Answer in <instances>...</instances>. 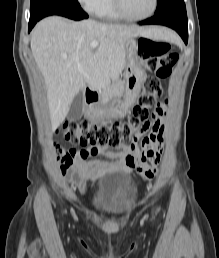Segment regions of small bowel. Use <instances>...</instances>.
Wrapping results in <instances>:
<instances>
[{
  "label": "small bowel",
  "instance_id": "1",
  "mask_svg": "<svg viewBox=\"0 0 219 258\" xmlns=\"http://www.w3.org/2000/svg\"><path fill=\"white\" fill-rule=\"evenodd\" d=\"M167 106L168 101H165L155 108L153 121L143 132L137 134L130 144L121 145L117 149L97 147L95 154H91L92 148L81 151L79 157L68 167L69 184L80 193H85L86 180L93 182L109 173H131L135 170L145 175L147 183H152V178H155V173L152 172L160 159L164 141ZM141 137L142 145L139 148L137 142ZM88 155H102L106 160L87 163L85 159Z\"/></svg>",
  "mask_w": 219,
  "mask_h": 258
}]
</instances>
